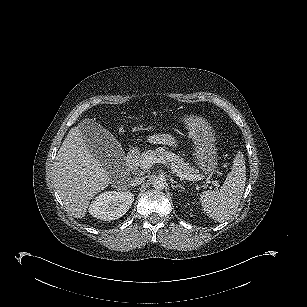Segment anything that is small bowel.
Masks as SVG:
<instances>
[{
  "label": "small bowel",
  "mask_w": 307,
  "mask_h": 307,
  "mask_svg": "<svg viewBox=\"0 0 307 307\" xmlns=\"http://www.w3.org/2000/svg\"><path fill=\"white\" fill-rule=\"evenodd\" d=\"M160 141H161V143L166 144V145L176 146L175 139L172 136L168 135V134L161 135L160 136Z\"/></svg>",
  "instance_id": "1"
}]
</instances>
